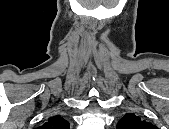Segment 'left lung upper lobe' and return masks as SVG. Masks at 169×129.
<instances>
[{"label": "left lung upper lobe", "instance_id": "1", "mask_svg": "<svg viewBox=\"0 0 169 129\" xmlns=\"http://www.w3.org/2000/svg\"><path fill=\"white\" fill-rule=\"evenodd\" d=\"M156 126L143 121L133 113H127L117 124V129H155Z\"/></svg>", "mask_w": 169, "mask_h": 129}]
</instances>
